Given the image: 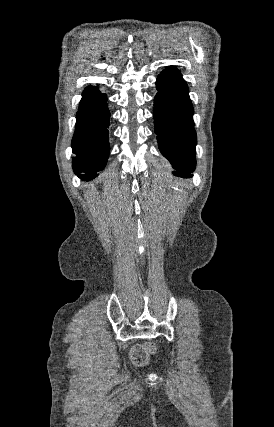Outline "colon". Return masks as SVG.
I'll use <instances>...</instances> for the list:
<instances>
[{"label": "colon", "mask_w": 274, "mask_h": 427, "mask_svg": "<svg viewBox=\"0 0 274 427\" xmlns=\"http://www.w3.org/2000/svg\"><path fill=\"white\" fill-rule=\"evenodd\" d=\"M153 353V347L149 344H139L131 348L129 358L135 366H143Z\"/></svg>", "instance_id": "colon-1"}]
</instances>
